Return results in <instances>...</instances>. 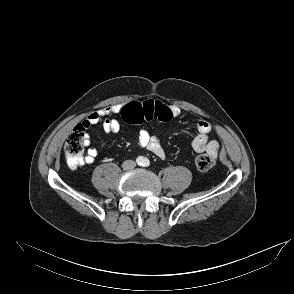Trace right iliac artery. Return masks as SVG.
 <instances>
[{
    "instance_id": "1",
    "label": "right iliac artery",
    "mask_w": 294,
    "mask_h": 294,
    "mask_svg": "<svg viewBox=\"0 0 294 294\" xmlns=\"http://www.w3.org/2000/svg\"><path fill=\"white\" fill-rule=\"evenodd\" d=\"M136 162L140 166L143 165V159L141 157L137 158Z\"/></svg>"
}]
</instances>
